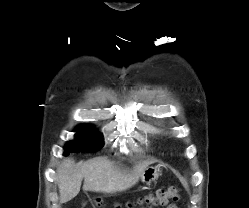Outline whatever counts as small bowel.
<instances>
[{
    "mask_svg": "<svg viewBox=\"0 0 249 208\" xmlns=\"http://www.w3.org/2000/svg\"><path fill=\"white\" fill-rule=\"evenodd\" d=\"M167 208H177V207H176V205L171 204V205H169Z\"/></svg>",
    "mask_w": 249,
    "mask_h": 208,
    "instance_id": "c3829d8e",
    "label": "small bowel"
}]
</instances>
